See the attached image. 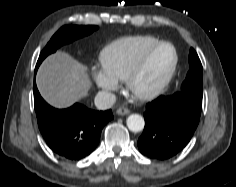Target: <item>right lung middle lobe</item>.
I'll list each match as a JSON object with an SVG mask.
<instances>
[{
    "instance_id": "obj_1",
    "label": "right lung middle lobe",
    "mask_w": 236,
    "mask_h": 187,
    "mask_svg": "<svg viewBox=\"0 0 236 187\" xmlns=\"http://www.w3.org/2000/svg\"><path fill=\"white\" fill-rule=\"evenodd\" d=\"M98 29L97 26H77L66 25L61 27L48 42L46 47L42 50L37 61L36 69L46 56L55 52L59 47L64 44L70 43L75 39L91 34L94 30Z\"/></svg>"
}]
</instances>
